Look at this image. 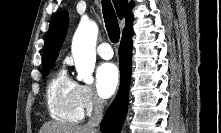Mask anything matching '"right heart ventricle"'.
Here are the masks:
<instances>
[{
  "mask_svg": "<svg viewBox=\"0 0 221 133\" xmlns=\"http://www.w3.org/2000/svg\"><path fill=\"white\" fill-rule=\"evenodd\" d=\"M46 101L49 115L59 123L74 124L83 118L79 84L68 76L65 69L58 70L50 79L46 89Z\"/></svg>",
  "mask_w": 221,
  "mask_h": 133,
  "instance_id": "1",
  "label": "right heart ventricle"
}]
</instances>
